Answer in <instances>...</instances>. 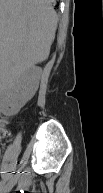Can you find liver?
Wrapping results in <instances>:
<instances>
[{
    "label": "liver",
    "instance_id": "liver-1",
    "mask_svg": "<svg viewBox=\"0 0 103 193\" xmlns=\"http://www.w3.org/2000/svg\"><path fill=\"white\" fill-rule=\"evenodd\" d=\"M54 0H0L1 82L45 61L55 38Z\"/></svg>",
    "mask_w": 103,
    "mask_h": 193
}]
</instances>
